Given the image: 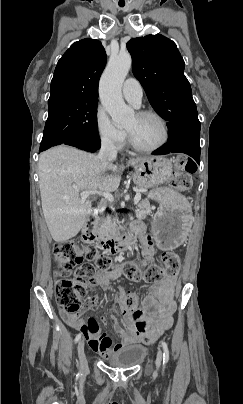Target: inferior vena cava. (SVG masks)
<instances>
[{
    "label": "inferior vena cava",
    "mask_w": 243,
    "mask_h": 404,
    "mask_svg": "<svg viewBox=\"0 0 243 404\" xmlns=\"http://www.w3.org/2000/svg\"><path fill=\"white\" fill-rule=\"evenodd\" d=\"M98 158L100 160L102 172H105L107 170L109 164L113 162V160H116L117 158V150L110 138H102L101 140V150L98 154Z\"/></svg>",
    "instance_id": "602c4592"
}]
</instances>
